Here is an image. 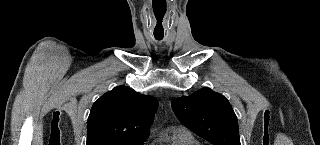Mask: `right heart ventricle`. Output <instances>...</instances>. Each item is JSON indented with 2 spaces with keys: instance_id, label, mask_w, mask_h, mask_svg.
Here are the masks:
<instances>
[{
  "instance_id": "e07e8e85",
  "label": "right heart ventricle",
  "mask_w": 320,
  "mask_h": 145,
  "mask_svg": "<svg viewBox=\"0 0 320 145\" xmlns=\"http://www.w3.org/2000/svg\"><path fill=\"white\" fill-rule=\"evenodd\" d=\"M165 145H201L199 141L187 130H174L166 140Z\"/></svg>"
}]
</instances>
